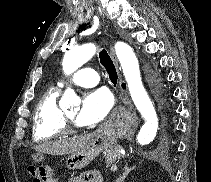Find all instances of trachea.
Listing matches in <instances>:
<instances>
[{
  "label": "trachea",
  "mask_w": 211,
  "mask_h": 182,
  "mask_svg": "<svg viewBox=\"0 0 211 182\" xmlns=\"http://www.w3.org/2000/svg\"><path fill=\"white\" fill-rule=\"evenodd\" d=\"M99 58H100V63L104 66V68L108 72L110 80L114 85H116L118 78L116 68L111 57L109 56V54L105 49H102L99 52Z\"/></svg>",
  "instance_id": "3493384b"
}]
</instances>
